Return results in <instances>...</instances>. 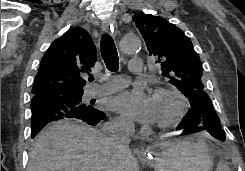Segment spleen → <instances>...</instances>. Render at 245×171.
Returning a JSON list of instances; mask_svg holds the SVG:
<instances>
[{"mask_svg":"<svg viewBox=\"0 0 245 171\" xmlns=\"http://www.w3.org/2000/svg\"><path fill=\"white\" fill-rule=\"evenodd\" d=\"M215 171H230V169L226 164L219 162Z\"/></svg>","mask_w":245,"mask_h":171,"instance_id":"spleen-1","label":"spleen"}]
</instances>
